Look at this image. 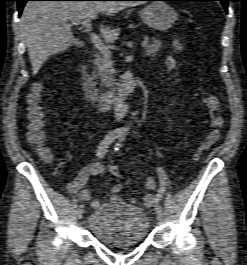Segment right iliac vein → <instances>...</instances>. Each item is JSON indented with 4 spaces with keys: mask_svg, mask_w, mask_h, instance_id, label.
I'll use <instances>...</instances> for the list:
<instances>
[{
    "mask_svg": "<svg viewBox=\"0 0 247 265\" xmlns=\"http://www.w3.org/2000/svg\"><path fill=\"white\" fill-rule=\"evenodd\" d=\"M77 218L80 219L82 218L83 214H84V206L80 205L77 209Z\"/></svg>",
    "mask_w": 247,
    "mask_h": 265,
    "instance_id": "63e3f726",
    "label": "right iliac vein"
}]
</instances>
